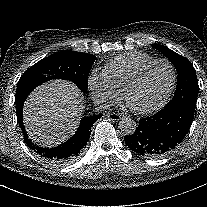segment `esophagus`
Returning a JSON list of instances; mask_svg holds the SVG:
<instances>
[{"mask_svg": "<svg viewBox=\"0 0 207 207\" xmlns=\"http://www.w3.org/2000/svg\"><path fill=\"white\" fill-rule=\"evenodd\" d=\"M107 117L112 121H118L121 119V115L117 113H108Z\"/></svg>", "mask_w": 207, "mask_h": 207, "instance_id": "esophagus-1", "label": "esophagus"}]
</instances>
